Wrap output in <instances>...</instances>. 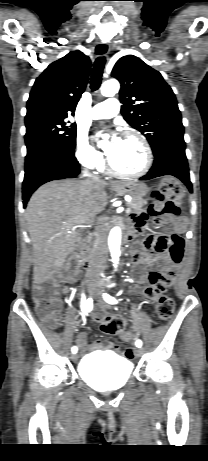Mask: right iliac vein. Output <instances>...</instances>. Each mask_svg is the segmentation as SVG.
<instances>
[{
  "mask_svg": "<svg viewBox=\"0 0 208 461\" xmlns=\"http://www.w3.org/2000/svg\"><path fill=\"white\" fill-rule=\"evenodd\" d=\"M89 293H90V295H92V294H93V290L91 289V290L89 291ZM71 359H72V361L76 362V361L78 360L77 354H75V353L72 354V355H71Z\"/></svg>",
  "mask_w": 208,
  "mask_h": 461,
  "instance_id": "63e3f726",
  "label": "right iliac vein"
}]
</instances>
